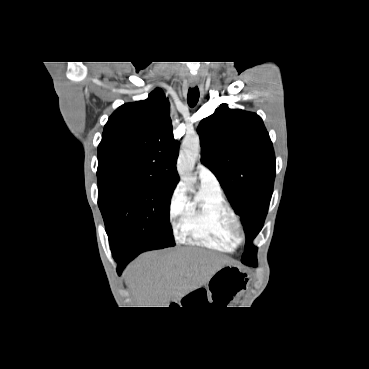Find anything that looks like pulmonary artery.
Here are the masks:
<instances>
[{
    "mask_svg": "<svg viewBox=\"0 0 369 369\" xmlns=\"http://www.w3.org/2000/svg\"><path fill=\"white\" fill-rule=\"evenodd\" d=\"M197 174L201 185L210 187L212 189H221L217 177L207 166L199 164L197 166Z\"/></svg>",
    "mask_w": 369,
    "mask_h": 369,
    "instance_id": "e3ab8cb5",
    "label": "pulmonary artery"
}]
</instances>
